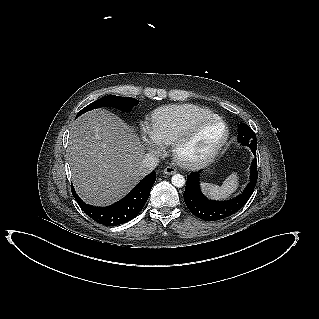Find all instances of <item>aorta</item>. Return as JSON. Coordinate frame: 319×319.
I'll list each match as a JSON object with an SVG mask.
<instances>
[{"mask_svg":"<svg viewBox=\"0 0 319 319\" xmlns=\"http://www.w3.org/2000/svg\"><path fill=\"white\" fill-rule=\"evenodd\" d=\"M171 181L175 187H182L185 185V178L180 174L173 175Z\"/></svg>","mask_w":319,"mask_h":319,"instance_id":"762f6f07","label":"aorta"}]
</instances>
